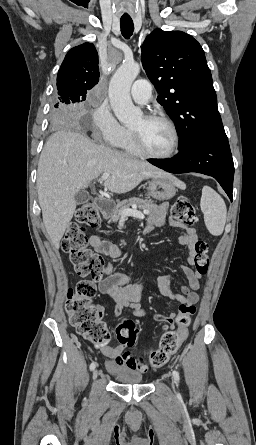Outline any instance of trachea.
I'll return each mask as SVG.
<instances>
[{
	"instance_id": "obj_1",
	"label": "trachea",
	"mask_w": 256,
	"mask_h": 445,
	"mask_svg": "<svg viewBox=\"0 0 256 445\" xmlns=\"http://www.w3.org/2000/svg\"><path fill=\"white\" fill-rule=\"evenodd\" d=\"M120 27H121V33L122 35L128 39L131 37L134 31V24L131 19H121L120 20Z\"/></svg>"
}]
</instances>
